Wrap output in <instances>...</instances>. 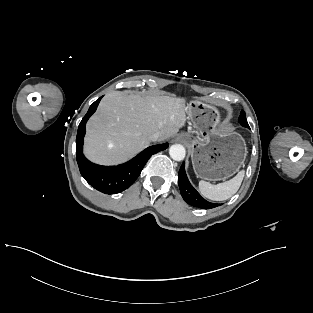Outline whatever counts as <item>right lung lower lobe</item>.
I'll list each match as a JSON object with an SVG mask.
<instances>
[{"instance_id": "obj_1", "label": "right lung lower lobe", "mask_w": 313, "mask_h": 313, "mask_svg": "<svg viewBox=\"0 0 313 313\" xmlns=\"http://www.w3.org/2000/svg\"><path fill=\"white\" fill-rule=\"evenodd\" d=\"M101 98L90 106L79 124L76 137L77 163L81 175L92 187L105 194H116L130 187L140 175L148 159L153 154L165 150L168 143L150 146L129 162L118 166H100L88 161L83 155L85 125L96 111Z\"/></svg>"}]
</instances>
